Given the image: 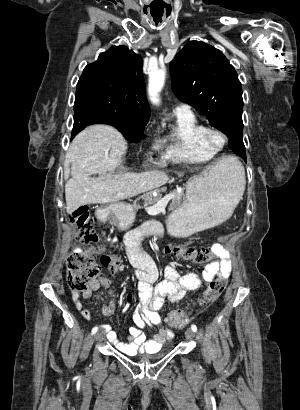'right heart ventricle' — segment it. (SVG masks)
<instances>
[{"label": "right heart ventricle", "mask_w": 300, "mask_h": 410, "mask_svg": "<svg viewBox=\"0 0 300 410\" xmlns=\"http://www.w3.org/2000/svg\"><path fill=\"white\" fill-rule=\"evenodd\" d=\"M207 128L190 111H176L175 120L164 142V160L173 163H202L212 160L217 151L207 147L203 133Z\"/></svg>", "instance_id": "right-heart-ventricle-1"}]
</instances>
